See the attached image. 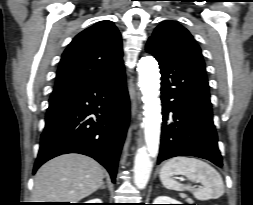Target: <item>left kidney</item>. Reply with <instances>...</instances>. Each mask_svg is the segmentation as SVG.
Returning <instances> with one entry per match:
<instances>
[{"mask_svg": "<svg viewBox=\"0 0 253 205\" xmlns=\"http://www.w3.org/2000/svg\"><path fill=\"white\" fill-rule=\"evenodd\" d=\"M154 204H181V202L167 196H159L154 200Z\"/></svg>", "mask_w": 253, "mask_h": 205, "instance_id": "1", "label": "left kidney"}]
</instances>
